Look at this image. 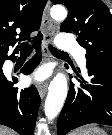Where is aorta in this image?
Here are the masks:
<instances>
[{
  "instance_id": "obj_1",
  "label": "aorta",
  "mask_w": 112,
  "mask_h": 135,
  "mask_svg": "<svg viewBox=\"0 0 112 135\" xmlns=\"http://www.w3.org/2000/svg\"><path fill=\"white\" fill-rule=\"evenodd\" d=\"M51 17L55 20H64L67 11L63 6H55L51 9ZM68 93L66 76L58 73L49 85L48 95L45 100L44 111L48 120L54 119L61 111Z\"/></svg>"
}]
</instances>
